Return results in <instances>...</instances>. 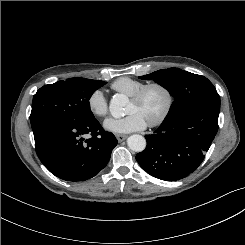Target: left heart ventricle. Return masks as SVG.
I'll return each instance as SVG.
<instances>
[{
	"label": "left heart ventricle",
	"instance_id": "obj_1",
	"mask_svg": "<svg viewBox=\"0 0 245 245\" xmlns=\"http://www.w3.org/2000/svg\"><path fill=\"white\" fill-rule=\"evenodd\" d=\"M164 105V94L158 89H153L148 92L144 100L140 103H135L130 100L127 107V113L137 112L147 123L162 112Z\"/></svg>",
	"mask_w": 245,
	"mask_h": 245
}]
</instances>
